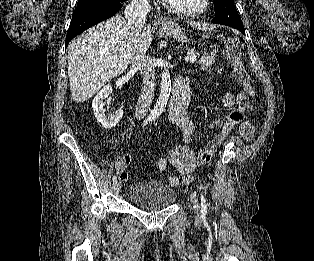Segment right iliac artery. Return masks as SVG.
<instances>
[{"label": "right iliac artery", "mask_w": 314, "mask_h": 261, "mask_svg": "<svg viewBox=\"0 0 314 261\" xmlns=\"http://www.w3.org/2000/svg\"><path fill=\"white\" fill-rule=\"evenodd\" d=\"M148 121H150V119H146V120L144 121V125H146V124L148 123ZM116 180H117V177H116V176H113L112 181L115 182Z\"/></svg>", "instance_id": "right-iliac-artery-1"}]
</instances>
